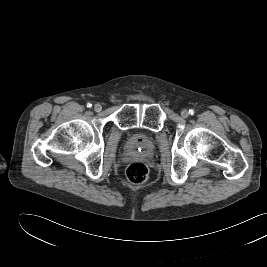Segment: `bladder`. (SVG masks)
<instances>
[{
  "label": "bladder",
  "instance_id": "bladder-1",
  "mask_svg": "<svg viewBox=\"0 0 267 267\" xmlns=\"http://www.w3.org/2000/svg\"><path fill=\"white\" fill-rule=\"evenodd\" d=\"M127 150L144 156H150L155 150V142L145 133H134L127 141Z\"/></svg>",
  "mask_w": 267,
  "mask_h": 267
}]
</instances>
